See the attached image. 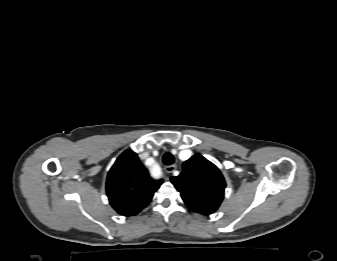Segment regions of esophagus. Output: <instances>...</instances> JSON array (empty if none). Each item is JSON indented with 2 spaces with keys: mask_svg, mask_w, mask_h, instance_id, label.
Wrapping results in <instances>:
<instances>
[{
  "mask_svg": "<svg viewBox=\"0 0 337 261\" xmlns=\"http://www.w3.org/2000/svg\"><path fill=\"white\" fill-rule=\"evenodd\" d=\"M175 169H176V165L166 166L165 167V172L166 173H172L173 171H175Z\"/></svg>",
  "mask_w": 337,
  "mask_h": 261,
  "instance_id": "34e87169",
  "label": "esophagus"
}]
</instances>
